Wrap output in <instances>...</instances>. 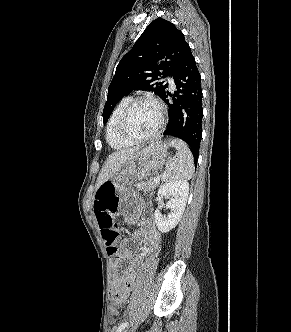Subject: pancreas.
Here are the masks:
<instances>
[{
	"label": "pancreas",
	"instance_id": "pancreas-1",
	"mask_svg": "<svg viewBox=\"0 0 291 332\" xmlns=\"http://www.w3.org/2000/svg\"><path fill=\"white\" fill-rule=\"evenodd\" d=\"M154 179H148L146 181H141L135 184V187L143 192H153L157 187L158 183H154Z\"/></svg>",
	"mask_w": 291,
	"mask_h": 332
}]
</instances>
